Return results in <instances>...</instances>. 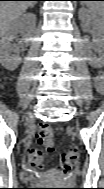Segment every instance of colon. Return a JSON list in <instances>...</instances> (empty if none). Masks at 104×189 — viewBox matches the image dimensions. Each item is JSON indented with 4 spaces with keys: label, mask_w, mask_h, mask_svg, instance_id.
Segmentation results:
<instances>
[{
    "label": "colon",
    "mask_w": 104,
    "mask_h": 189,
    "mask_svg": "<svg viewBox=\"0 0 104 189\" xmlns=\"http://www.w3.org/2000/svg\"><path fill=\"white\" fill-rule=\"evenodd\" d=\"M37 144L28 149V166L32 171H41L44 168V155L54 149V136L51 126L41 125L36 132ZM78 161L75 149L65 150L60 159L59 167L63 172H69Z\"/></svg>",
    "instance_id": "5ec220e1"
}]
</instances>
